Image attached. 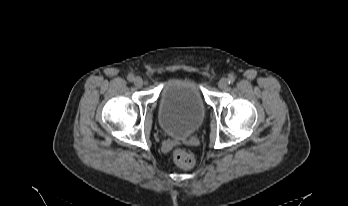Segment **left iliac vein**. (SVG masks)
Segmentation results:
<instances>
[{"label": "left iliac vein", "instance_id": "4c4485c4", "mask_svg": "<svg viewBox=\"0 0 348 206\" xmlns=\"http://www.w3.org/2000/svg\"><path fill=\"white\" fill-rule=\"evenodd\" d=\"M228 86V80L226 78H221L218 82V87L220 89H225Z\"/></svg>", "mask_w": 348, "mask_h": 206}]
</instances>
